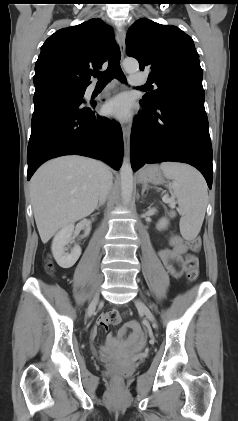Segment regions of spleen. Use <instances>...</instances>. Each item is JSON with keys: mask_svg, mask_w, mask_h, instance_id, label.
<instances>
[{"mask_svg": "<svg viewBox=\"0 0 238 421\" xmlns=\"http://www.w3.org/2000/svg\"><path fill=\"white\" fill-rule=\"evenodd\" d=\"M160 169L172 180L167 187L176 195L182 212V236L185 239L195 238L200 232L208 202L207 185L203 176L192 166L177 162H163Z\"/></svg>", "mask_w": 238, "mask_h": 421, "instance_id": "spleen-1", "label": "spleen"}]
</instances>
